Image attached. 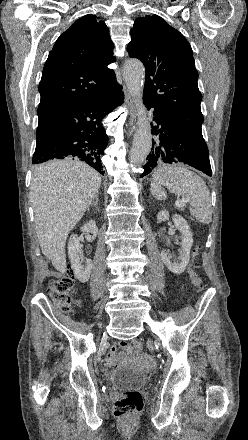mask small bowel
<instances>
[{
  "label": "small bowel",
  "mask_w": 248,
  "mask_h": 440,
  "mask_svg": "<svg viewBox=\"0 0 248 440\" xmlns=\"http://www.w3.org/2000/svg\"><path fill=\"white\" fill-rule=\"evenodd\" d=\"M130 339L129 338H122L120 345H113L108 353L107 361L110 365H115L119 361V349L122 350H128L126 347L130 346Z\"/></svg>",
  "instance_id": "obj_1"
}]
</instances>
